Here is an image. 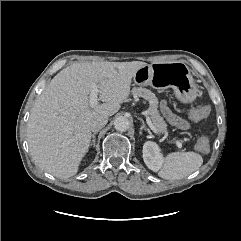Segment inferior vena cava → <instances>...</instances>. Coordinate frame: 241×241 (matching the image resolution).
Here are the masks:
<instances>
[{
  "label": "inferior vena cava",
  "instance_id": "1",
  "mask_svg": "<svg viewBox=\"0 0 241 241\" xmlns=\"http://www.w3.org/2000/svg\"><path fill=\"white\" fill-rule=\"evenodd\" d=\"M108 122L107 116H98L90 123L91 131L98 132L100 129H102Z\"/></svg>",
  "mask_w": 241,
  "mask_h": 241
}]
</instances>
